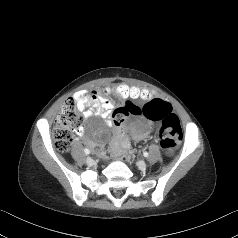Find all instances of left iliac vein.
Masks as SVG:
<instances>
[{"label": "left iliac vein", "mask_w": 238, "mask_h": 238, "mask_svg": "<svg viewBox=\"0 0 238 238\" xmlns=\"http://www.w3.org/2000/svg\"><path fill=\"white\" fill-rule=\"evenodd\" d=\"M138 167L141 170H145L147 168V164L144 161H140V162H138Z\"/></svg>", "instance_id": "1"}]
</instances>
